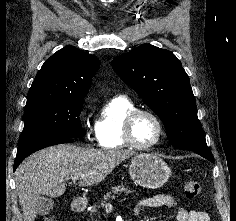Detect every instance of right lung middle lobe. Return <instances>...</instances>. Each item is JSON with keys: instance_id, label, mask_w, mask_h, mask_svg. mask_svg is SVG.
I'll list each match as a JSON object with an SVG mask.
<instances>
[{"instance_id": "1", "label": "right lung middle lobe", "mask_w": 236, "mask_h": 221, "mask_svg": "<svg viewBox=\"0 0 236 221\" xmlns=\"http://www.w3.org/2000/svg\"><path fill=\"white\" fill-rule=\"evenodd\" d=\"M84 97L28 96L24 129L18 145L40 138H82L80 112Z\"/></svg>"}]
</instances>
